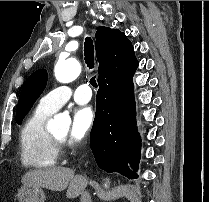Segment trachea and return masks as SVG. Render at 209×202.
I'll return each instance as SVG.
<instances>
[{"label": "trachea", "instance_id": "3493384b", "mask_svg": "<svg viewBox=\"0 0 209 202\" xmlns=\"http://www.w3.org/2000/svg\"><path fill=\"white\" fill-rule=\"evenodd\" d=\"M84 56H85V62L86 65L89 69H93L94 68V46H93V41L90 37H87L85 39V43H84ZM90 84L93 87H98L97 82H96V76H93L90 79Z\"/></svg>", "mask_w": 209, "mask_h": 202}]
</instances>
